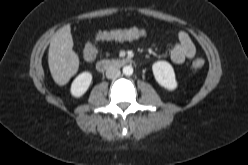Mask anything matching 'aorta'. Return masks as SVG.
Wrapping results in <instances>:
<instances>
[{"label": "aorta", "instance_id": "1", "mask_svg": "<svg viewBox=\"0 0 248 165\" xmlns=\"http://www.w3.org/2000/svg\"><path fill=\"white\" fill-rule=\"evenodd\" d=\"M123 74L126 76H130L133 74V67L128 65L123 67Z\"/></svg>", "mask_w": 248, "mask_h": 165}]
</instances>
